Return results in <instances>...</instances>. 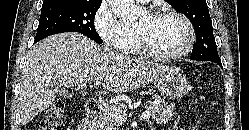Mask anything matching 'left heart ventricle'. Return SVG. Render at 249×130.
Returning <instances> with one entry per match:
<instances>
[{"mask_svg":"<svg viewBox=\"0 0 249 130\" xmlns=\"http://www.w3.org/2000/svg\"><path fill=\"white\" fill-rule=\"evenodd\" d=\"M136 30L145 36L150 48L160 54L178 51L188 37L184 23L172 16L155 18L148 14Z\"/></svg>","mask_w":249,"mask_h":130,"instance_id":"left-heart-ventricle-1","label":"left heart ventricle"}]
</instances>
